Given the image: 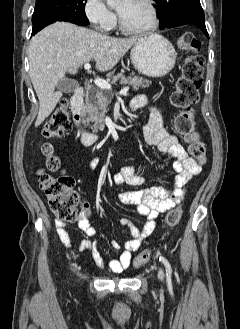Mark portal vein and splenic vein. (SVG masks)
<instances>
[{"label":"portal vein and splenic vein","mask_w":240,"mask_h":329,"mask_svg":"<svg viewBox=\"0 0 240 329\" xmlns=\"http://www.w3.org/2000/svg\"><path fill=\"white\" fill-rule=\"evenodd\" d=\"M84 68L89 70L91 68V65L89 63H85ZM94 83L102 90H111L112 89L109 82L105 81L104 79L97 78V79H95ZM128 90H129V87H125L119 93L125 94Z\"/></svg>","instance_id":"portal-vein-and-splenic-vein-1"}]
</instances>
